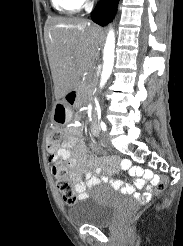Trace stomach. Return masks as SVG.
I'll return each instance as SVG.
<instances>
[{"label":"stomach","instance_id":"0dacf381","mask_svg":"<svg viewBox=\"0 0 183 246\" xmlns=\"http://www.w3.org/2000/svg\"><path fill=\"white\" fill-rule=\"evenodd\" d=\"M59 114H62L63 115V118H64V121H63V123H66V122H68L69 121V119H70V113H69V111L67 110V109H58V110H56L55 112H54V115L55 116H59Z\"/></svg>","mask_w":183,"mask_h":246}]
</instances>
